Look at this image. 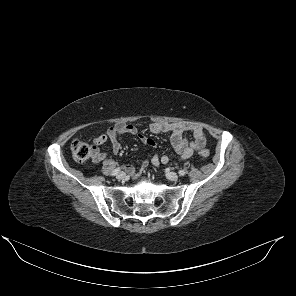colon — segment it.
Here are the masks:
<instances>
[{"mask_svg":"<svg viewBox=\"0 0 296 296\" xmlns=\"http://www.w3.org/2000/svg\"><path fill=\"white\" fill-rule=\"evenodd\" d=\"M71 152L74 159L79 163L93 159L97 155V152L90 145L80 140L72 142ZM199 155L202 158H208L210 156V152L207 149H202L199 151Z\"/></svg>","mask_w":296,"mask_h":296,"instance_id":"obj_1","label":"colon"}]
</instances>
